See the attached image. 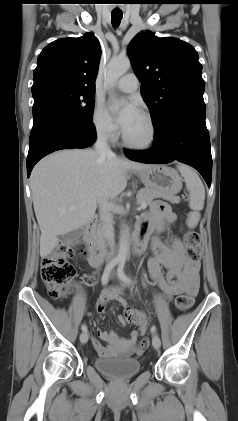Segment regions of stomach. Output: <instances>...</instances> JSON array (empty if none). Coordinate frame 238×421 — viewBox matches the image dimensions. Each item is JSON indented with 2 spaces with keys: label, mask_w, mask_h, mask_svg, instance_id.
Wrapping results in <instances>:
<instances>
[{
  "label": "stomach",
  "mask_w": 238,
  "mask_h": 421,
  "mask_svg": "<svg viewBox=\"0 0 238 421\" xmlns=\"http://www.w3.org/2000/svg\"><path fill=\"white\" fill-rule=\"evenodd\" d=\"M142 183L150 189H156L173 196L182 189V178L178 172L166 165H150L137 172Z\"/></svg>",
  "instance_id": "0dacf381"
}]
</instances>
